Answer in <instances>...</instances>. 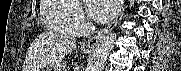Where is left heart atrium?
I'll use <instances>...</instances> for the list:
<instances>
[{"label":"left heart atrium","mask_w":181,"mask_h":71,"mask_svg":"<svg viewBox=\"0 0 181 71\" xmlns=\"http://www.w3.org/2000/svg\"><path fill=\"white\" fill-rule=\"evenodd\" d=\"M119 3L120 1L117 0H90L88 1L89 15L98 23L107 22L116 14Z\"/></svg>","instance_id":"1"}]
</instances>
